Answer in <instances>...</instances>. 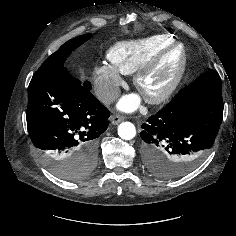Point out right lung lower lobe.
Here are the masks:
<instances>
[{
    "mask_svg": "<svg viewBox=\"0 0 236 236\" xmlns=\"http://www.w3.org/2000/svg\"><path fill=\"white\" fill-rule=\"evenodd\" d=\"M66 68L36 71L28 88L27 127L33 145L46 156L96 161L98 137L110 112Z\"/></svg>",
    "mask_w": 236,
    "mask_h": 236,
    "instance_id": "right-lung-lower-lobe-1",
    "label": "right lung lower lobe"
}]
</instances>
